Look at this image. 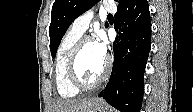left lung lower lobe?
Returning a JSON list of instances; mask_svg holds the SVG:
<instances>
[{"mask_svg": "<svg viewBox=\"0 0 193 112\" xmlns=\"http://www.w3.org/2000/svg\"><path fill=\"white\" fill-rule=\"evenodd\" d=\"M118 9L123 34L120 43L113 44L112 73L98 97H103L122 112H139L144 92V71L151 47L149 5L147 0H128Z\"/></svg>", "mask_w": 193, "mask_h": 112, "instance_id": "obj_1", "label": "left lung lower lobe"}]
</instances>
